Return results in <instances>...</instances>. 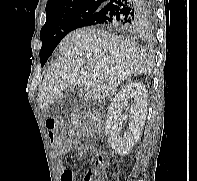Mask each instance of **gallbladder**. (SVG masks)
I'll use <instances>...</instances> for the list:
<instances>
[{"mask_svg":"<svg viewBox=\"0 0 197 181\" xmlns=\"http://www.w3.org/2000/svg\"><path fill=\"white\" fill-rule=\"evenodd\" d=\"M72 93H75V89L73 87H69L65 90L64 94L61 95L60 99H58L55 103L52 104L51 108H59L61 107V109L64 107V102L65 101H69V105L71 106V108L75 107L76 105V101L71 99L70 96Z\"/></svg>","mask_w":197,"mask_h":181,"instance_id":"obj_1","label":"gallbladder"}]
</instances>
